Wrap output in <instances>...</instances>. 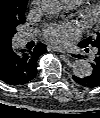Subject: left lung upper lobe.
I'll return each mask as SVG.
<instances>
[{"instance_id": "obj_1", "label": "left lung upper lobe", "mask_w": 100, "mask_h": 118, "mask_svg": "<svg viewBox=\"0 0 100 118\" xmlns=\"http://www.w3.org/2000/svg\"><path fill=\"white\" fill-rule=\"evenodd\" d=\"M80 45L83 46H92V47H97L100 45V31L96 32L95 35L88 37L87 39L81 41L79 43Z\"/></svg>"}]
</instances>
